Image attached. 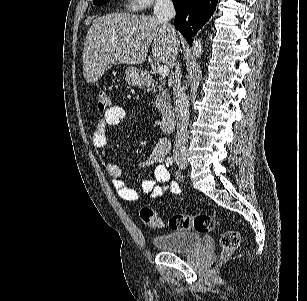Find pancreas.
<instances>
[{"label": "pancreas", "mask_w": 307, "mask_h": 301, "mask_svg": "<svg viewBox=\"0 0 307 301\" xmlns=\"http://www.w3.org/2000/svg\"><path fill=\"white\" fill-rule=\"evenodd\" d=\"M153 88V92H155L154 104L157 110H166V106H171L170 104V94L165 88L164 84H158V82H151Z\"/></svg>", "instance_id": "cf45deb5"}]
</instances>
